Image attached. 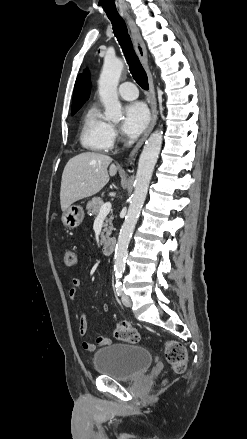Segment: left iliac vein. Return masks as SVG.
Masks as SVG:
<instances>
[{"label":"left iliac vein","instance_id":"left-iliac-vein-1","mask_svg":"<svg viewBox=\"0 0 247 439\" xmlns=\"http://www.w3.org/2000/svg\"><path fill=\"white\" fill-rule=\"evenodd\" d=\"M122 303L126 306V307H130L132 302L129 296H127L126 294L122 295Z\"/></svg>","mask_w":247,"mask_h":439}]
</instances>
